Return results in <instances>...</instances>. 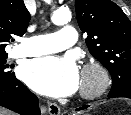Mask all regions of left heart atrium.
Returning a JSON list of instances; mask_svg holds the SVG:
<instances>
[{"label":"left heart atrium","mask_w":131,"mask_h":115,"mask_svg":"<svg viewBox=\"0 0 131 115\" xmlns=\"http://www.w3.org/2000/svg\"><path fill=\"white\" fill-rule=\"evenodd\" d=\"M20 74L30 88L51 97L71 95L80 85L79 69L69 57L33 59L22 66Z\"/></svg>","instance_id":"left-heart-atrium-1"}]
</instances>
